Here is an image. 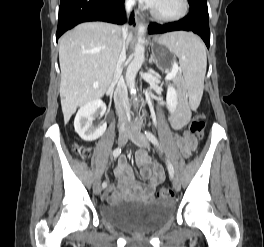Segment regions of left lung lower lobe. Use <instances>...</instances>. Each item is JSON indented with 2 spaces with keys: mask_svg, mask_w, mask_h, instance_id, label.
<instances>
[{
  "mask_svg": "<svg viewBox=\"0 0 264 247\" xmlns=\"http://www.w3.org/2000/svg\"><path fill=\"white\" fill-rule=\"evenodd\" d=\"M189 4L190 12L185 18L164 25L151 23L148 27V32L157 34L179 30L191 31L198 34L209 48L210 30L207 1L189 0Z\"/></svg>",
  "mask_w": 264,
  "mask_h": 247,
  "instance_id": "obj_1",
  "label": "left lung lower lobe"
}]
</instances>
